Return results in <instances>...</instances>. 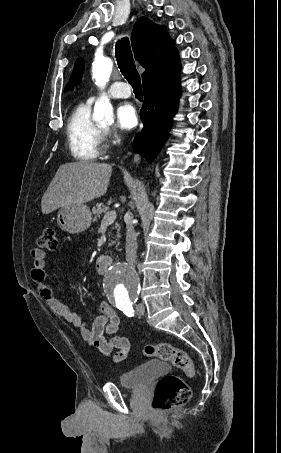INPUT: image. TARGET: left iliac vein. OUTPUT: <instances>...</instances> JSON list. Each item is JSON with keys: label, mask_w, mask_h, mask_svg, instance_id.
Returning a JSON list of instances; mask_svg holds the SVG:
<instances>
[{"label": "left iliac vein", "mask_w": 281, "mask_h": 453, "mask_svg": "<svg viewBox=\"0 0 281 453\" xmlns=\"http://www.w3.org/2000/svg\"><path fill=\"white\" fill-rule=\"evenodd\" d=\"M136 307L137 314L143 316V311L146 310L145 306L143 305V302L141 301V303H138V306Z\"/></svg>", "instance_id": "left-iliac-vein-1"}]
</instances>
